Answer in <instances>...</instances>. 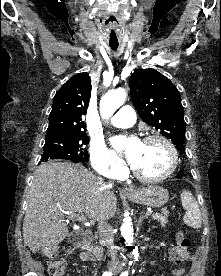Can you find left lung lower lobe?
<instances>
[{
  "mask_svg": "<svg viewBox=\"0 0 221 276\" xmlns=\"http://www.w3.org/2000/svg\"><path fill=\"white\" fill-rule=\"evenodd\" d=\"M176 177H177V178H181L182 176H181V175H177Z\"/></svg>",
  "mask_w": 221,
  "mask_h": 276,
  "instance_id": "left-lung-lower-lobe-1",
  "label": "left lung lower lobe"
}]
</instances>
